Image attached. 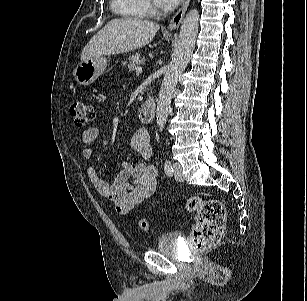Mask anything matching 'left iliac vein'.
<instances>
[{"instance_id":"4c4485c4","label":"left iliac vein","mask_w":307,"mask_h":301,"mask_svg":"<svg viewBox=\"0 0 307 301\" xmlns=\"http://www.w3.org/2000/svg\"><path fill=\"white\" fill-rule=\"evenodd\" d=\"M173 168H174V177L176 178V180L183 182L184 181V176L182 174V167L178 162H175L173 164Z\"/></svg>"}]
</instances>
